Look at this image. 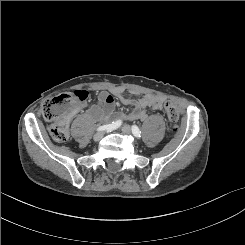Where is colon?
Returning <instances> with one entry per match:
<instances>
[{"label":"colon","mask_w":245,"mask_h":245,"mask_svg":"<svg viewBox=\"0 0 245 245\" xmlns=\"http://www.w3.org/2000/svg\"><path fill=\"white\" fill-rule=\"evenodd\" d=\"M88 98L87 91H74L55 96L44 103L42 115L50 123L49 133L56 142H65L68 139L70 117L76 108L85 103ZM164 109L168 120L172 123V132H175L179 111L171 102H166Z\"/></svg>","instance_id":"1"}]
</instances>
